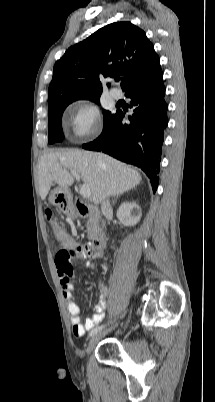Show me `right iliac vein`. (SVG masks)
<instances>
[{
  "mask_svg": "<svg viewBox=\"0 0 215 402\" xmlns=\"http://www.w3.org/2000/svg\"><path fill=\"white\" fill-rule=\"evenodd\" d=\"M110 330H112V328L109 329V330L98 332L90 339L89 344H88L87 349H86L87 354H89L94 349V347L96 346L98 341L102 337H104L108 333V331H110Z\"/></svg>",
  "mask_w": 215,
  "mask_h": 402,
  "instance_id": "1",
  "label": "right iliac vein"
}]
</instances>
